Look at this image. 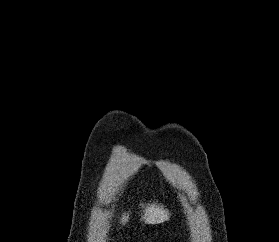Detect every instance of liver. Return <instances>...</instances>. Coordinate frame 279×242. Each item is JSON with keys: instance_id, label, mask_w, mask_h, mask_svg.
I'll return each mask as SVG.
<instances>
[{"instance_id": "liver-1", "label": "liver", "mask_w": 279, "mask_h": 242, "mask_svg": "<svg viewBox=\"0 0 279 242\" xmlns=\"http://www.w3.org/2000/svg\"><path fill=\"white\" fill-rule=\"evenodd\" d=\"M141 206L144 208L142 220L147 224H159L169 219V212L167 209H164L162 205L151 203L147 204L145 207L143 204H141ZM128 218L129 214L123 213L121 223L125 225Z\"/></svg>"}]
</instances>
